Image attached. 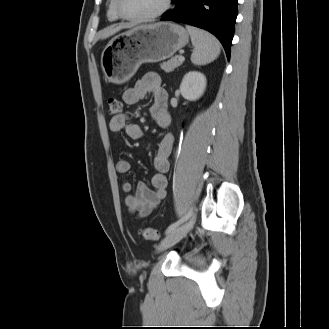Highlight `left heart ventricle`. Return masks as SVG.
Here are the masks:
<instances>
[{
	"mask_svg": "<svg viewBox=\"0 0 329 329\" xmlns=\"http://www.w3.org/2000/svg\"><path fill=\"white\" fill-rule=\"evenodd\" d=\"M164 0H121L122 10L131 16H145L158 11Z\"/></svg>",
	"mask_w": 329,
	"mask_h": 329,
	"instance_id": "b2bd125f",
	"label": "left heart ventricle"
}]
</instances>
